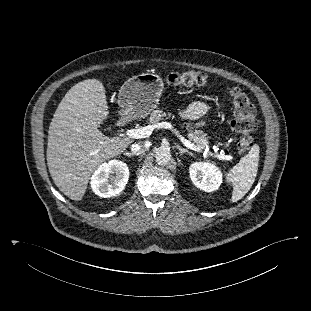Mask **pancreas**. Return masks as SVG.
Here are the masks:
<instances>
[{
	"label": "pancreas",
	"mask_w": 311,
	"mask_h": 311,
	"mask_svg": "<svg viewBox=\"0 0 311 311\" xmlns=\"http://www.w3.org/2000/svg\"><path fill=\"white\" fill-rule=\"evenodd\" d=\"M167 116V114L160 110H154L148 119L149 123L154 125L158 123L160 120L164 119ZM168 116H171L169 113ZM189 127V126H188ZM188 138L189 141H192L193 143L197 144L198 147L204 148L208 145V140L206 137V134L203 133L202 130H192V128L188 129Z\"/></svg>",
	"instance_id": "cf45deb5"
}]
</instances>
